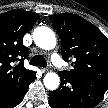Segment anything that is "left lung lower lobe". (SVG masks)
<instances>
[{
	"label": "left lung lower lobe",
	"mask_w": 108,
	"mask_h": 108,
	"mask_svg": "<svg viewBox=\"0 0 108 108\" xmlns=\"http://www.w3.org/2000/svg\"><path fill=\"white\" fill-rule=\"evenodd\" d=\"M60 87L50 92L51 108H94L108 89V82L58 73Z\"/></svg>",
	"instance_id": "1"
}]
</instances>
